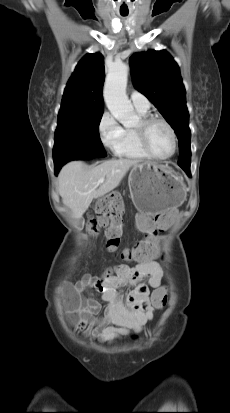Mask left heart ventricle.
<instances>
[{"label": "left heart ventricle", "mask_w": 230, "mask_h": 413, "mask_svg": "<svg viewBox=\"0 0 230 413\" xmlns=\"http://www.w3.org/2000/svg\"><path fill=\"white\" fill-rule=\"evenodd\" d=\"M147 141L151 150L159 156H166L172 150L171 134L161 122H153L148 127Z\"/></svg>", "instance_id": "b2bd125f"}]
</instances>
